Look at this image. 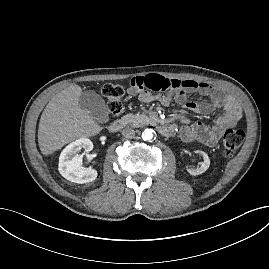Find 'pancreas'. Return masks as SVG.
<instances>
[{
	"label": "pancreas",
	"mask_w": 269,
	"mask_h": 269,
	"mask_svg": "<svg viewBox=\"0 0 269 269\" xmlns=\"http://www.w3.org/2000/svg\"><path fill=\"white\" fill-rule=\"evenodd\" d=\"M149 120V117L145 114H126L121 118V122L125 125L133 127H141L145 125Z\"/></svg>",
	"instance_id": "cf45deb5"
}]
</instances>
